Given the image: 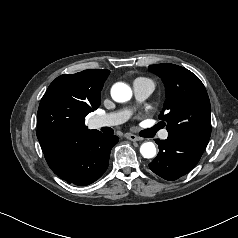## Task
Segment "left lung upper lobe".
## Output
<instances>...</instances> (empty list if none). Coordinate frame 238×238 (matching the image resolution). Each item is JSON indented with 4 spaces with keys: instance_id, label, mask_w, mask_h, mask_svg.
Masks as SVG:
<instances>
[{
    "instance_id": "obj_1",
    "label": "left lung upper lobe",
    "mask_w": 238,
    "mask_h": 238,
    "mask_svg": "<svg viewBox=\"0 0 238 238\" xmlns=\"http://www.w3.org/2000/svg\"><path fill=\"white\" fill-rule=\"evenodd\" d=\"M164 85L166 100L159 115L169 133L208 143L211 106L201 80L188 69L174 64L150 65Z\"/></svg>"
}]
</instances>
